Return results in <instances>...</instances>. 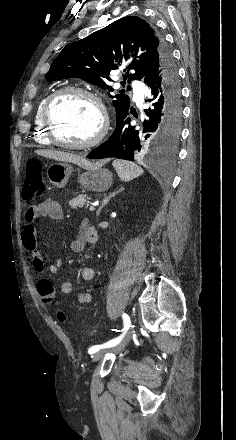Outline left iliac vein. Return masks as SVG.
<instances>
[{"label":"left iliac vein","mask_w":236,"mask_h":440,"mask_svg":"<svg viewBox=\"0 0 236 440\" xmlns=\"http://www.w3.org/2000/svg\"><path fill=\"white\" fill-rule=\"evenodd\" d=\"M132 332H133L132 325L130 324V327L128 328L125 336L110 351L111 352H119V351L123 350L125 348V346L127 345V343L129 342V340L132 336ZM106 353H107V351H104V350L97 352L93 356V361L96 362V361L100 360L101 358H103L105 356Z\"/></svg>","instance_id":"left-iliac-vein-1"}]
</instances>
